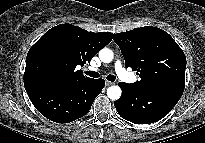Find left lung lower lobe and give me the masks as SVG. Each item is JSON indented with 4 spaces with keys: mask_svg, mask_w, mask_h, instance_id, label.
<instances>
[{
    "mask_svg": "<svg viewBox=\"0 0 205 143\" xmlns=\"http://www.w3.org/2000/svg\"><path fill=\"white\" fill-rule=\"evenodd\" d=\"M120 99L114 102L119 115L135 124H149L166 116L183 94L185 82L173 81L136 87L120 82Z\"/></svg>",
    "mask_w": 205,
    "mask_h": 143,
    "instance_id": "1",
    "label": "left lung lower lobe"
}]
</instances>
